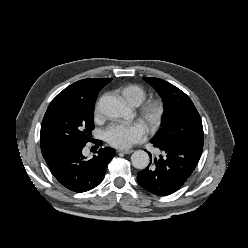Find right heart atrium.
I'll list each match as a JSON object with an SVG mask.
<instances>
[{"instance_id": "obj_1", "label": "right heart atrium", "mask_w": 248, "mask_h": 248, "mask_svg": "<svg viewBox=\"0 0 248 248\" xmlns=\"http://www.w3.org/2000/svg\"><path fill=\"white\" fill-rule=\"evenodd\" d=\"M99 114H100V110H99V107H97L96 110H95V115L99 116Z\"/></svg>"}]
</instances>
